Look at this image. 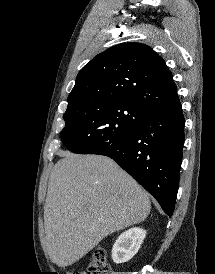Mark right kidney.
I'll list each match as a JSON object with an SVG mask.
<instances>
[{"instance_id":"obj_1","label":"right kidney","mask_w":215,"mask_h":274,"mask_svg":"<svg viewBox=\"0 0 215 274\" xmlns=\"http://www.w3.org/2000/svg\"><path fill=\"white\" fill-rule=\"evenodd\" d=\"M145 237L146 231L138 227L123 232L113 245V261L116 264L129 261L138 252Z\"/></svg>"}]
</instances>
